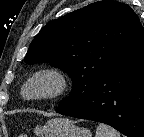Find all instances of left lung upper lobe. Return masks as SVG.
<instances>
[{
    "instance_id": "1",
    "label": "left lung upper lobe",
    "mask_w": 144,
    "mask_h": 137,
    "mask_svg": "<svg viewBox=\"0 0 144 137\" xmlns=\"http://www.w3.org/2000/svg\"><path fill=\"white\" fill-rule=\"evenodd\" d=\"M143 26L132 8L103 0L44 26L31 42L25 62H50L68 73L72 92L60 103L84 99L96 82L135 46Z\"/></svg>"
}]
</instances>
